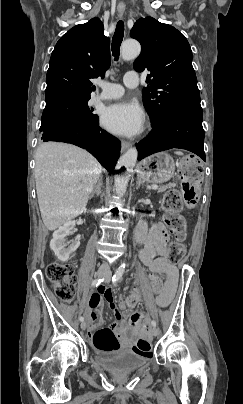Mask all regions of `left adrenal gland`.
Here are the masks:
<instances>
[{
    "label": "left adrenal gland",
    "instance_id": "a2214340",
    "mask_svg": "<svg viewBox=\"0 0 243 404\" xmlns=\"http://www.w3.org/2000/svg\"><path fill=\"white\" fill-rule=\"evenodd\" d=\"M141 184H144V182H142L140 176L139 178H137V182H136V190H138L139 186H141Z\"/></svg>",
    "mask_w": 243,
    "mask_h": 404
}]
</instances>
